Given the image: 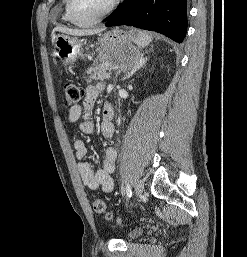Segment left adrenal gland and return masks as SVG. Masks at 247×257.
<instances>
[{"mask_svg":"<svg viewBox=\"0 0 247 257\" xmlns=\"http://www.w3.org/2000/svg\"><path fill=\"white\" fill-rule=\"evenodd\" d=\"M147 61V58H144V53L141 54V57L137 64L131 69L130 72H127L123 80L129 79L137 70H139L141 67L145 65ZM120 72V71H119Z\"/></svg>","mask_w":247,"mask_h":257,"instance_id":"obj_1","label":"left adrenal gland"}]
</instances>
